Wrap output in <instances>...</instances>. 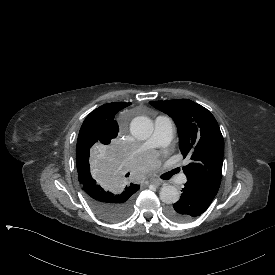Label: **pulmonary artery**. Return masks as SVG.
<instances>
[{
	"label": "pulmonary artery",
	"instance_id": "pulmonary-artery-1",
	"mask_svg": "<svg viewBox=\"0 0 275 275\" xmlns=\"http://www.w3.org/2000/svg\"><path fill=\"white\" fill-rule=\"evenodd\" d=\"M160 144L163 151L167 154L172 153L175 149L173 123L168 117H157L155 119V131L152 137L141 148L133 151L131 156L127 157V160H134L137 155L149 150L151 146ZM183 181H186V177L183 178Z\"/></svg>",
	"mask_w": 275,
	"mask_h": 275
}]
</instances>
